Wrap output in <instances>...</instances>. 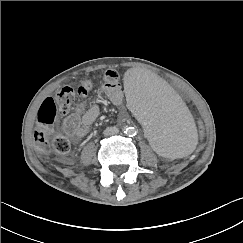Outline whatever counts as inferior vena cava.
<instances>
[{
    "label": "inferior vena cava",
    "mask_w": 243,
    "mask_h": 243,
    "mask_svg": "<svg viewBox=\"0 0 243 243\" xmlns=\"http://www.w3.org/2000/svg\"><path fill=\"white\" fill-rule=\"evenodd\" d=\"M118 132H119V130H118V128H116V127H107V128L104 130L103 134H104L105 136H112V135L117 134Z\"/></svg>",
    "instance_id": "obj_1"
}]
</instances>
